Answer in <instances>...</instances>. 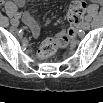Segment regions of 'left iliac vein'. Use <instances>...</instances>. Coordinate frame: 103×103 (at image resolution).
I'll use <instances>...</instances> for the list:
<instances>
[{"label": "left iliac vein", "instance_id": "obj_1", "mask_svg": "<svg viewBox=\"0 0 103 103\" xmlns=\"http://www.w3.org/2000/svg\"><path fill=\"white\" fill-rule=\"evenodd\" d=\"M90 28V24L88 22H85L83 25H82V29L83 30H88Z\"/></svg>", "mask_w": 103, "mask_h": 103}]
</instances>
